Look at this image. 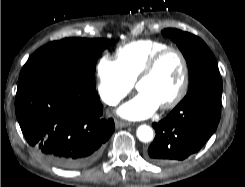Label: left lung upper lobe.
I'll return each mask as SVG.
<instances>
[{
  "label": "left lung upper lobe",
  "mask_w": 245,
  "mask_h": 187,
  "mask_svg": "<svg viewBox=\"0 0 245 187\" xmlns=\"http://www.w3.org/2000/svg\"><path fill=\"white\" fill-rule=\"evenodd\" d=\"M162 34L171 38L181 50L189 70V90L219 79L218 65L209 47L197 36L177 29H165Z\"/></svg>",
  "instance_id": "left-lung-upper-lobe-1"
}]
</instances>
